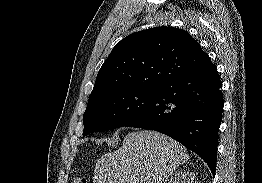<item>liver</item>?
<instances>
[{"instance_id": "6515ba94", "label": "liver", "mask_w": 262, "mask_h": 183, "mask_svg": "<svg viewBox=\"0 0 262 183\" xmlns=\"http://www.w3.org/2000/svg\"><path fill=\"white\" fill-rule=\"evenodd\" d=\"M188 159L187 149L164 134L130 132L117 151L99 158L93 183H167Z\"/></svg>"}]
</instances>
